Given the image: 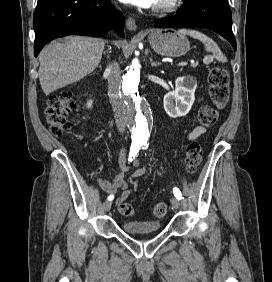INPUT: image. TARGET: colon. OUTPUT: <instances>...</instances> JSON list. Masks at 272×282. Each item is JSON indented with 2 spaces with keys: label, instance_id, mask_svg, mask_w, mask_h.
Segmentation results:
<instances>
[{
  "label": "colon",
  "instance_id": "colon-1",
  "mask_svg": "<svg viewBox=\"0 0 272 282\" xmlns=\"http://www.w3.org/2000/svg\"><path fill=\"white\" fill-rule=\"evenodd\" d=\"M210 96L214 107L204 106L199 110L198 122L202 126H211L219 118V110H222L229 99V74L219 66L211 69L209 75ZM77 102L70 93H63L50 98L46 109V118L50 125V131L54 136H62L69 132L71 122L67 116L70 112L76 110ZM202 159V148L199 142L193 141L187 145L185 155V166L189 173H195ZM119 212L124 216L135 214L134 207L123 202L118 207ZM167 203L158 202L152 208L154 218H163L167 213Z\"/></svg>",
  "mask_w": 272,
  "mask_h": 282
}]
</instances>
